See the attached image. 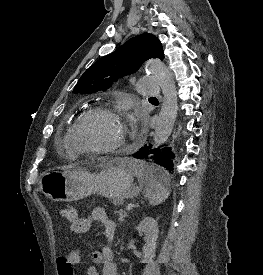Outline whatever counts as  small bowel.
<instances>
[{
  "label": "small bowel",
  "instance_id": "small-bowel-1",
  "mask_svg": "<svg viewBox=\"0 0 263 275\" xmlns=\"http://www.w3.org/2000/svg\"><path fill=\"white\" fill-rule=\"evenodd\" d=\"M93 223H99L102 226L106 242L99 250L93 252L92 263L88 265L87 274L117 275V265L114 262V251L111 244L116 226L103 208H94L88 217L78 218L72 222L69 229L74 234H82L89 231ZM97 265H100V271Z\"/></svg>",
  "mask_w": 263,
  "mask_h": 275
}]
</instances>
